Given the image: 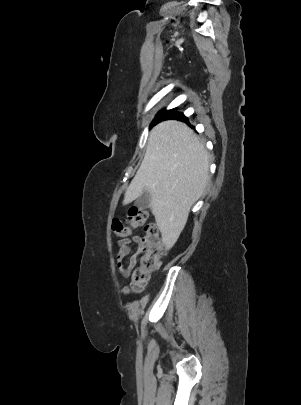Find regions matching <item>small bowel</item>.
<instances>
[{
    "instance_id": "small-bowel-1",
    "label": "small bowel",
    "mask_w": 301,
    "mask_h": 405,
    "mask_svg": "<svg viewBox=\"0 0 301 405\" xmlns=\"http://www.w3.org/2000/svg\"><path fill=\"white\" fill-rule=\"evenodd\" d=\"M137 246V253L133 255L128 263H125L126 257L131 252V246ZM119 250L117 253L118 267L124 276H129L132 269L136 265L137 256L139 255L142 247V239L139 236L133 235L131 237H124L118 242Z\"/></svg>"
}]
</instances>
